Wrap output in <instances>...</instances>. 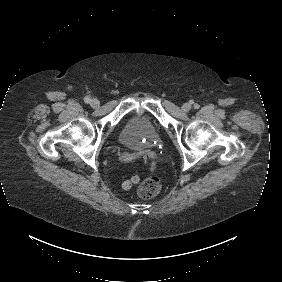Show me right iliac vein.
Wrapping results in <instances>:
<instances>
[{
  "label": "right iliac vein",
  "mask_w": 282,
  "mask_h": 282,
  "mask_svg": "<svg viewBox=\"0 0 282 282\" xmlns=\"http://www.w3.org/2000/svg\"><path fill=\"white\" fill-rule=\"evenodd\" d=\"M99 105H100V103H99V101H98L97 99L91 100V106H92L93 108H98Z\"/></svg>",
  "instance_id": "right-iliac-vein-1"
}]
</instances>
